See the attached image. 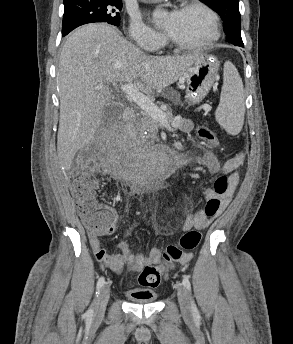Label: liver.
I'll return each instance as SVG.
<instances>
[{
  "instance_id": "6515ba94",
  "label": "liver",
  "mask_w": 293,
  "mask_h": 344,
  "mask_svg": "<svg viewBox=\"0 0 293 344\" xmlns=\"http://www.w3.org/2000/svg\"><path fill=\"white\" fill-rule=\"evenodd\" d=\"M198 56L147 55L106 24L73 32L63 45L57 72L60 165L69 170L77 151L94 139L111 103L110 84L134 83L147 94L161 91L180 79Z\"/></svg>"
}]
</instances>
